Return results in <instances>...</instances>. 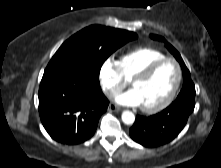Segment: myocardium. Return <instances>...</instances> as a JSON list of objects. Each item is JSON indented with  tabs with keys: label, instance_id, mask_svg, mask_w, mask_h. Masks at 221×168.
Instances as JSON below:
<instances>
[{
	"label": "myocardium",
	"instance_id": "1",
	"mask_svg": "<svg viewBox=\"0 0 221 168\" xmlns=\"http://www.w3.org/2000/svg\"><path fill=\"white\" fill-rule=\"evenodd\" d=\"M165 62H173L177 68V79L175 82V85L173 89L171 90L170 94L167 96L165 100H163L161 103L154 105V106H142V110L146 113H156L159 112L165 108H167L175 99L183 78V71L182 67L178 60H176L173 57H164L159 60H156L149 64L146 68H144L141 72H139L137 75H135L132 78L131 84L134 87V85L137 82L146 80L160 65H162Z\"/></svg>",
	"mask_w": 221,
	"mask_h": 168
}]
</instances>
